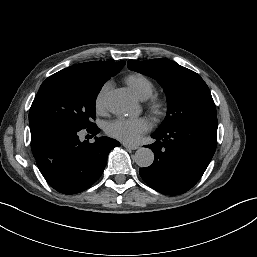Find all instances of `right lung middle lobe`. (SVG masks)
<instances>
[{
	"mask_svg": "<svg viewBox=\"0 0 257 257\" xmlns=\"http://www.w3.org/2000/svg\"><path fill=\"white\" fill-rule=\"evenodd\" d=\"M107 80L94 79L70 67L48 77L29 111V124L46 123L64 129L95 126V102Z\"/></svg>",
	"mask_w": 257,
	"mask_h": 257,
	"instance_id": "right-lung-middle-lobe-1",
	"label": "right lung middle lobe"
}]
</instances>
